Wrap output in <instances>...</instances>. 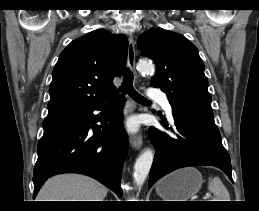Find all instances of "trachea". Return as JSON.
<instances>
[{
	"label": "trachea",
	"instance_id": "obj_1",
	"mask_svg": "<svg viewBox=\"0 0 259 211\" xmlns=\"http://www.w3.org/2000/svg\"><path fill=\"white\" fill-rule=\"evenodd\" d=\"M122 92L128 93L133 99L142 104H149L150 101L135 91L133 87V74L127 69L124 72L123 83L120 87Z\"/></svg>",
	"mask_w": 259,
	"mask_h": 211
}]
</instances>
